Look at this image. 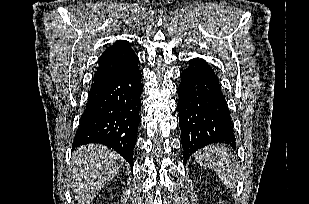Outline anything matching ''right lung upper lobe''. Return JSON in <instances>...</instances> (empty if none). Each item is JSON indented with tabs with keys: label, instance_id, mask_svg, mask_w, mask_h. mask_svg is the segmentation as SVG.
<instances>
[{
	"label": "right lung upper lobe",
	"instance_id": "cb5924a9",
	"mask_svg": "<svg viewBox=\"0 0 309 204\" xmlns=\"http://www.w3.org/2000/svg\"><path fill=\"white\" fill-rule=\"evenodd\" d=\"M139 59L131 48L129 42L119 40L107 47L99 58V66L95 72L93 81L99 82L137 65Z\"/></svg>",
	"mask_w": 309,
	"mask_h": 204
}]
</instances>
